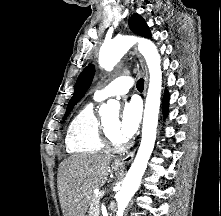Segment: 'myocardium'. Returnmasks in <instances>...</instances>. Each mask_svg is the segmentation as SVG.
I'll return each instance as SVG.
<instances>
[{
    "mask_svg": "<svg viewBox=\"0 0 221 216\" xmlns=\"http://www.w3.org/2000/svg\"><path fill=\"white\" fill-rule=\"evenodd\" d=\"M101 135L104 145L110 150H122L124 149L126 143L124 140L115 139L110 131L108 130L105 121H101Z\"/></svg>",
    "mask_w": 221,
    "mask_h": 216,
    "instance_id": "myocardium-1",
    "label": "myocardium"
}]
</instances>
